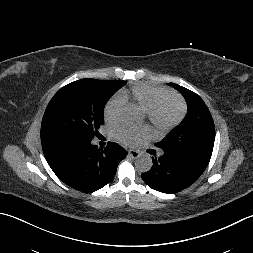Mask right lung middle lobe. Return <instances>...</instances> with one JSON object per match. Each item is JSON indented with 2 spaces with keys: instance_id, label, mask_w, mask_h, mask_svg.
I'll return each mask as SVG.
<instances>
[{
  "instance_id": "1",
  "label": "right lung middle lobe",
  "mask_w": 253,
  "mask_h": 253,
  "mask_svg": "<svg viewBox=\"0 0 253 253\" xmlns=\"http://www.w3.org/2000/svg\"><path fill=\"white\" fill-rule=\"evenodd\" d=\"M125 81L81 79L61 88L49 102L41 124V141L90 142L104 123V107Z\"/></svg>"
}]
</instances>
